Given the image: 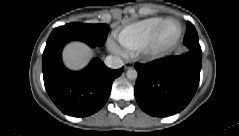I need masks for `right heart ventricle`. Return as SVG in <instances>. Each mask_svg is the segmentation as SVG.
<instances>
[{
	"label": "right heart ventricle",
	"instance_id": "obj_1",
	"mask_svg": "<svg viewBox=\"0 0 239 136\" xmlns=\"http://www.w3.org/2000/svg\"><path fill=\"white\" fill-rule=\"evenodd\" d=\"M158 21L142 23L134 28L122 31L118 35L120 47L124 50L131 46H136L148 38L151 32L159 25Z\"/></svg>",
	"mask_w": 239,
	"mask_h": 136
}]
</instances>
